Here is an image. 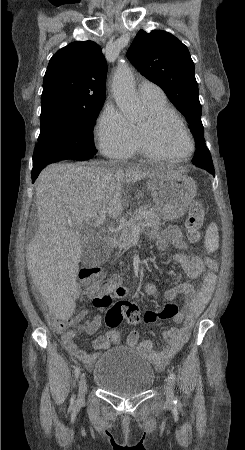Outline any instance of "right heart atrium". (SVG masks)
<instances>
[{
    "label": "right heart atrium",
    "mask_w": 245,
    "mask_h": 450,
    "mask_svg": "<svg viewBox=\"0 0 245 450\" xmlns=\"http://www.w3.org/2000/svg\"><path fill=\"white\" fill-rule=\"evenodd\" d=\"M99 150L109 158L125 160L137 150L134 126L113 105L103 109L95 130Z\"/></svg>",
    "instance_id": "right-heart-atrium-1"
}]
</instances>
